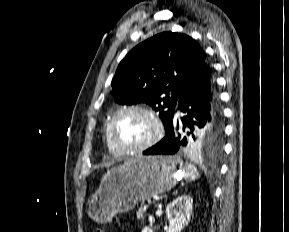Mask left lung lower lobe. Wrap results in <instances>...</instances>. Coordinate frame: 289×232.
I'll return each instance as SVG.
<instances>
[{"label":"left lung lower lobe","instance_id":"1","mask_svg":"<svg viewBox=\"0 0 289 232\" xmlns=\"http://www.w3.org/2000/svg\"><path fill=\"white\" fill-rule=\"evenodd\" d=\"M178 109L185 116L178 121L174 114L165 131L166 136L159 143L144 151V155H173L178 152H187L185 148L191 136L222 122L215 77L208 62H205L181 94Z\"/></svg>","mask_w":289,"mask_h":232}]
</instances>
